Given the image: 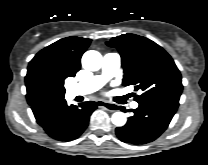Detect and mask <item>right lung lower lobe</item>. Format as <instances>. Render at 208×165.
<instances>
[{
  "instance_id": "obj_1",
  "label": "right lung lower lobe",
  "mask_w": 208,
  "mask_h": 165,
  "mask_svg": "<svg viewBox=\"0 0 208 165\" xmlns=\"http://www.w3.org/2000/svg\"><path fill=\"white\" fill-rule=\"evenodd\" d=\"M94 101L68 105L66 100L50 105L36 121L55 140L71 141L78 138L86 129L91 113L96 109Z\"/></svg>"
}]
</instances>
